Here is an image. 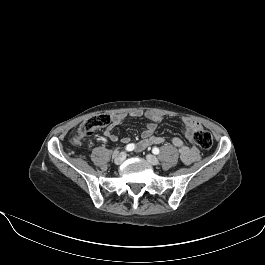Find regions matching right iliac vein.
<instances>
[{
    "instance_id": "63e3f726",
    "label": "right iliac vein",
    "mask_w": 265,
    "mask_h": 265,
    "mask_svg": "<svg viewBox=\"0 0 265 265\" xmlns=\"http://www.w3.org/2000/svg\"><path fill=\"white\" fill-rule=\"evenodd\" d=\"M125 159H126V153L121 152L115 157L114 162L115 164L119 165V164H122Z\"/></svg>"
}]
</instances>
